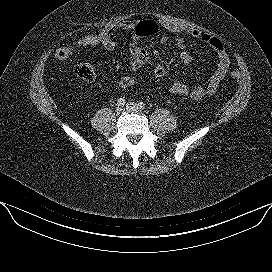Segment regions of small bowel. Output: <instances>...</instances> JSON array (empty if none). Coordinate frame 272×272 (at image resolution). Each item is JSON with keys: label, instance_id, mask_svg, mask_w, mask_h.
<instances>
[{"label": "small bowel", "instance_id": "obj_1", "mask_svg": "<svg viewBox=\"0 0 272 272\" xmlns=\"http://www.w3.org/2000/svg\"><path fill=\"white\" fill-rule=\"evenodd\" d=\"M137 23L134 21H124L117 24L106 25L102 27L101 32L113 37V31L119 29L122 31H134L136 30ZM161 27L166 30L169 34L179 36L175 39V45L181 50L178 52L179 58L186 64H192L194 61L193 56L185 51L187 42L184 36H190L212 48L217 56L216 68L213 71L209 81L205 85H199L194 87H189L181 82H174L170 88V93L178 96H187L192 100H200L206 96L213 95L216 93L221 81L225 77L230 60L227 51L223 43L216 37L197 29L187 28L180 24L170 21L160 22ZM115 40V39H114ZM170 41L168 36H164L160 39L159 43L161 45H167ZM116 47L118 42L115 40ZM148 59L147 51L141 47L138 43L132 44L129 53V65L133 70L139 69Z\"/></svg>", "mask_w": 272, "mask_h": 272}]
</instances>
